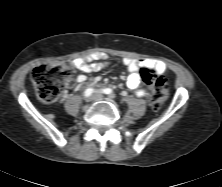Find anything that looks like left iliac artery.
<instances>
[{
  "label": "left iliac artery",
  "instance_id": "obj_1",
  "mask_svg": "<svg viewBox=\"0 0 222 187\" xmlns=\"http://www.w3.org/2000/svg\"><path fill=\"white\" fill-rule=\"evenodd\" d=\"M102 93L108 94L110 97H112V90L110 88H104L101 90Z\"/></svg>",
  "mask_w": 222,
  "mask_h": 187
}]
</instances>
